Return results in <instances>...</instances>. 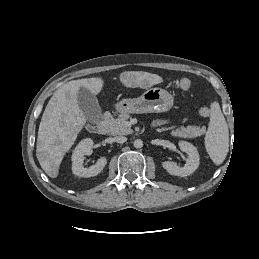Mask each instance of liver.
<instances>
[{"label":"liver","instance_id":"obj_1","mask_svg":"<svg viewBox=\"0 0 259 259\" xmlns=\"http://www.w3.org/2000/svg\"><path fill=\"white\" fill-rule=\"evenodd\" d=\"M121 83L127 88L147 89L163 82L157 74L144 71H125ZM104 81L100 77L72 80L62 85L49 100L38 129L36 156L45 171L56 178L60 164L86 124V117L78 104V90L85 87L94 95L101 92Z\"/></svg>","mask_w":259,"mask_h":259}]
</instances>
